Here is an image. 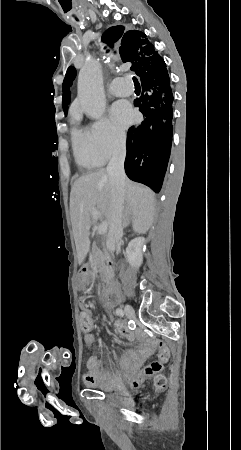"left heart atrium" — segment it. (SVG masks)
Segmentation results:
<instances>
[{
	"label": "left heart atrium",
	"mask_w": 241,
	"mask_h": 450,
	"mask_svg": "<svg viewBox=\"0 0 241 450\" xmlns=\"http://www.w3.org/2000/svg\"><path fill=\"white\" fill-rule=\"evenodd\" d=\"M112 121L120 128H127L132 120L133 113L128 103L118 101L111 108Z\"/></svg>",
	"instance_id": "39dd6f15"
}]
</instances>
